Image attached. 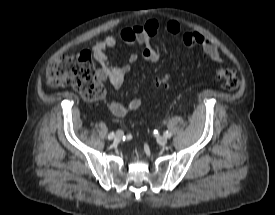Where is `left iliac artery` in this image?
Returning a JSON list of instances; mask_svg holds the SVG:
<instances>
[{"label":"left iliac artery","instance_id":"1","mask_svg":"<svg viewBox=\"0 0 275 215\" xmlns=\"http://www.w3.org/2000/svg\"><path fill=\"white\" fill-rule=\"evenodd\" d=\"M164 136L166 138H170L172 136V134L170 132L166 131V132H164Z\"/></svg>","mask_w":275,"mask_h":215}]
</instances>
